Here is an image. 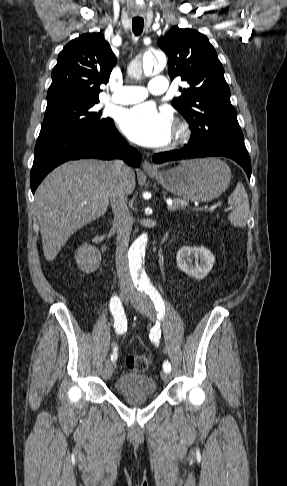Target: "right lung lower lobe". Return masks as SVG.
Segmentation results:
<instances>
[{"instance_id": "1", "label": "right lung lower lobe", "mask_w": 287, "mask_h": 486, "mask_svg": "<svg viewBox=\"0 0 287 486\" xmlns=\"http://www.w3.org/2000/svg\"><path fill=\"white\" fill-rule=\"evenodd\" d=\"M81 158H122L133 167H139L141 163L140 153L125 142L112 120L103 128L87 133L38 138L31 169L32 193L55 167L68 160Z\"/></svg>"}]
</instances>
